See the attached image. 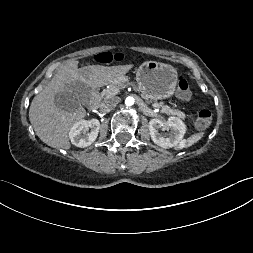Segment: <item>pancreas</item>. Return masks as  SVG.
<instances>
[{"label":"pancreas","mask_w":253,"mask_h":253,"mask_svg":"<svg viewBox=\"0 0 253 253\" xmlns=\"http://www.w3.org/2000/svg\"><path fill=\"white\" fill-rule=\"evenodd\" d=\"M128 79L127 78H123L122 80L112 83L109 88L103 90L102 95L105 98H110L115 96L116 94H118L120 92L121 89H124L126 87V83H127ZM147 103H152L151 100H148L147 97H145ZM152 106L155 108H160V111L162 113H165L167 115H172V116H177L180 119H185V114L178 110V109H173L170 108L167 105H163V103H158V102H153Z\"/></svg>","instance_id":"cf45deb5"}]
</instances>
